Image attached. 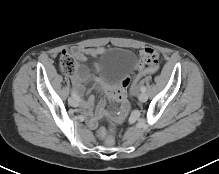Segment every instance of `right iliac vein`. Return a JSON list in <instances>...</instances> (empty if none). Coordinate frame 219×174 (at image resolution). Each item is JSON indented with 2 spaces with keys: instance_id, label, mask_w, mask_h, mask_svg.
Masks as SVG:
<instances>
[{
  "instance_id": "63e3f726",
  "label": "right iliac vein",
  "mask_w": 219,
  "mask_h": 174,
  "mask_svg": "<svg viewBox=\"0 0 219 174\" xmlns=\"http://www.w3.org/2000/svg\"><path fill=\"white\" fill-rule=\"evenodd\" d=\"M68 103H69L71 106H73V107L78 106V101H77V99L74 98V97H70V98L68 99Z\"/></svg>"
}]
</instances>
